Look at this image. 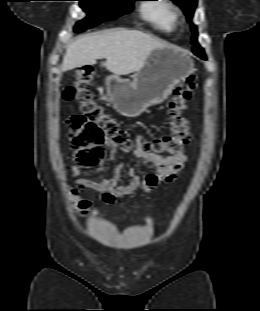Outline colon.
<instances>
[{
	"instance_id": "colon-1",
	"label": "colon",
	"mask_w": 260,
	"mask_h": 311,
	"mask_svg": "<svg viewBox=\"0 0 260 311\" xmlns=\"http://www.w3.org/2000/svg\"><path fill=\"white\" fill-rule=\"evenodd\" d=\"M94 76L91 67L79 69L63 93L66 102L79 104V113L69 116L66 123L70 129V145L74 150V159L80 166H95L100 163L104 158L102 145L107 140L127 149L133 146L128 129L94 100L90 89ZM195 87L194 77L189 76L175 88L169 104L171 134L143 141V150L153 151L158 155L166 153L170 156L182 153L191 140L183 112Z\"/></svg>"
}]
</instances>
